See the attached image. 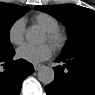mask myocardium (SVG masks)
Instances as JSON below:
<instances>
[{
	"instance_id": "obj_1",
	"label": "myocardium",
	"mask_w": 95,
	"mask_h": 95,
	"mask_svg": "<svg viewBox=\"0 0 95 95\" xmlns=\"http://www.w3.org/2000/svg\"><path fill=\"white\" fill-rule=\"evenodd\" d=\"M46 36L47 41L55 51H61L67 43V35L59 29L46 32Z\"/></svg>"
}]
</instances>
